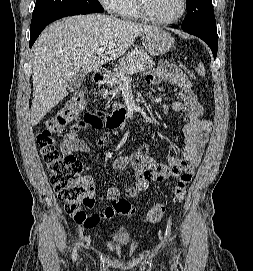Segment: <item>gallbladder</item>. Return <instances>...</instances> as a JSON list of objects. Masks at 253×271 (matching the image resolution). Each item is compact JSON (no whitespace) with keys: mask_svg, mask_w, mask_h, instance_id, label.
<instances>
[{"mask_svg":"<svg viewBox=\"0 0 253 271\" xmlns=\"http://www.w3.org/2000/svg\"><path fill=\"white\" fill-rule=\"evenodd\" d=\"M85 78L86 74L83 71L76 73L69 82L67 89L70 92L76 91L80 87L81 83L85 80Z\"/></svg>","mask_w":253,"mask_h":271,"instance_id":"obj_1","label":"gallbladder"}]
</instances>
